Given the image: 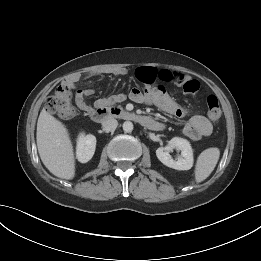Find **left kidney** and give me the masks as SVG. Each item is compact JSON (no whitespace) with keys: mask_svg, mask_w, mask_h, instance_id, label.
<instances>
[{"mask_svg":"<svg viewBox=\"0 0 261 261\" xmlns=\"http://www.w3.org/2000/svg\"><path fill=\"white\" fill-rule=\"evenodd\" d=\"M177 148L181 151V158L174 160L169 151ZM157 158L166 166L176 170H189L193 166V151L190 143L183 138L174 137L165 147L156 150Z\"/></svg>","mask_w":261,"mask_h":261,"instance_id":"obj_1","label":"left kidney"}]
</instances>
